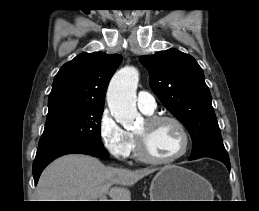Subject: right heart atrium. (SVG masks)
I'll list each match as a JSON object with an SVG mask.
<instances>
[{"label": "right heart atrium", "mask_w": 259, "mask_h": 211, "mask_svg": "<svg viewBox=\"0 0 259 211\" xmlns=\"http://www.w3.org/2000/svg\"><path fill=\"white\" fill-rule=\"evenodd\" d=\"M98 133L102 145L115 159L125 160L129 157L132 150L130 133L118 124L106 108L99 117Z\"/></svg>", "instance_id": "right-heart-atrium-1"}]
</instances>
